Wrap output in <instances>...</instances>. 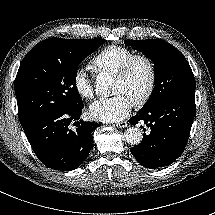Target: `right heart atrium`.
<instances>
[{
    "label": "right heart atrium",
    "mask_w": 215,
    "mask_h": 215,
    "mask_svg": "<svg viewBox=\"0 0 215 215\" xmlns=\"http://www.w3.org/2000/svg\"><path fill=\"white\" fill-rule=\"evenodd\" d=\"M73 88L78 96L86 101H90L94 97V79L83 68H79L74 72Z\"/></svg>",
    "instance_id": "d8ad5b80"
}]
</instances>
